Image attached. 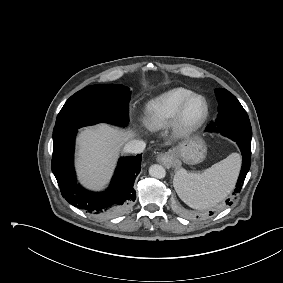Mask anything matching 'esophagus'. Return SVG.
<instances>
[{"instance_id":"esophagus-1","label":"esophagus","mask_w":283,"mask_h":283,"mask_svg":"<svg viewBox=\"0 0 283 283\" xmlns=\"http://www.w3.org/2000/svg\"><path fill=\"white\" fill-rule=\"evenodd\" d=\"M157 161L169 168L173 165V156L170 152H164L157 156Z\"/></svg>"}]
</instances>
